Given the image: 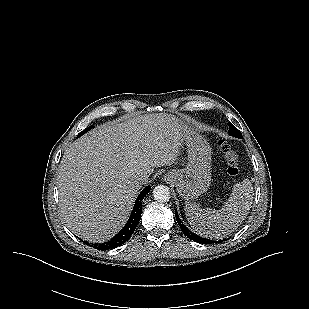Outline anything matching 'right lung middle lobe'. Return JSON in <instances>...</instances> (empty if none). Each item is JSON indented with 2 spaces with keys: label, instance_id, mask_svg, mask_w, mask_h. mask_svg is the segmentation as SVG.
Returning <instances> with one entry per match:
<instances>
[{
  "label": "right lung middle lobe",
  "instance_id": "1",
  "mask_svg": "<svg viewBox=\"0 0 309 309\" xmlns=\"http://www.w3.org/2000/svg\"><path fill=\"white\" fill-rule=\"evenodd\" d=\"M92 128H93V126H90V127H88L87 129H85L84 131L80 132V133L78 134V137H80L81 135H83L84 133H86L88 130H90V129H92Z\"/></svg>",
  "mask_w": 309,
  "mask_h": 309
}]
</instances>
